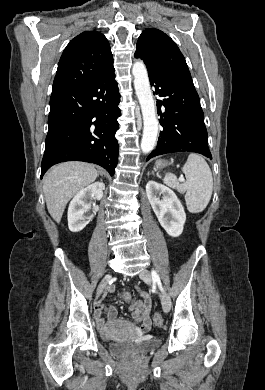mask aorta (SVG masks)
Masks as SVG:
<instances>
[{"label": "aorta", "mask_w": 265, "mask_h": 390, "mask_svg": "<svg viewBox=\"0 0 265 390\" xmlns=\"http://www.w3.org/2000/svg\"><path fill=\"white\" fill-rule=\"evenodd\" d=\"M132 74L134 76V87L141 106L144 124L141 150L143 153H149L156 145L158 120L156 118L155 104L150 89L147 69L142 61H136L133 64Z\"/></svg>", "instance_id": "1"}]
</instances>
